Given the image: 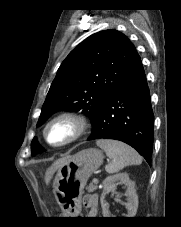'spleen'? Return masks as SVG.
<instances>
[{"instance_id":"3e777b00","label":"spleen","mask_w":181,"mask_h":227,"mask_svg":"<svg viewBox=\"0 0 181 227\" xmlns=\"http://www.w3.org/2000/svg\"><path fill=\"white\" fill-rule=\"evenodd\" d=\"M97 146L102 148L111 162L105 167L109 174L119 172L129 165H140L142 157L127 144L111 139L96 141Z\"/></svg>"}]
</instances>
